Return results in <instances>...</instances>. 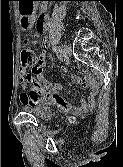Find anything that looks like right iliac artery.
I'll use <instances>...</instances> for the list:
<instances>
[{"label": "right iliac artery", "instance_id": "82829eb1", "mask_svg": "<svg viewBox=\"0 0 123 167\" xmlns=\"http://www.w3.org/2000/svg\"><path fill=\"white\" fill-rule=\"evenodd\" d=\"M60 49H61V48L57 46V47L54 48V51H55L56 53H59V52H60Z\"/></svg>", "mask_w": 123, "mask_h": 167}]
</instances>
